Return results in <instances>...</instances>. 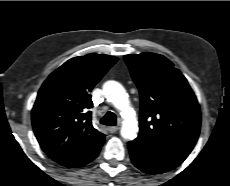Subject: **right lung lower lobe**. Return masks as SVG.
<instances>
[{
    "mask_svg": "<svg viewBox=\"0 0 230 186\" xmlns=\"http://www.w3.org/2000/svg\"><path fill=\"white\" fill-rule=\"evenodd\" d=\"M97 154H98V153H97ZM97 154H96L95 156H93L88 162L92 161V160L97 156ZM88 162H87V163H88ZM87 163H85V164H87ZM85 164H84V165H85Z\"/></svg>",
    "mask_w": 230,
    "mask_h": 186,
    "instance_id": "right-lung-lower-lobe-1",
    "label": "right lung lower lobe"
}]
</instances>
